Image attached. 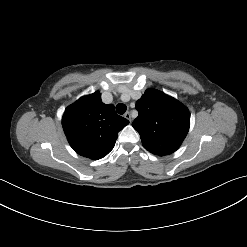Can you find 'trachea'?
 <instances>
[{
  "mask_svg": "<svg viewBox=\"0 0 247 247\" xmlns=\"http://www.w3.org/2000/svg\"><path fill=\"white\" fill-rule=\"evenodd\" d=\"M127 110V107L125 104L123 103H119L116 105V111L118 112V114L123 115Z\"/></svg>",
  "mask_w": 247,
  "mask_h": 247,
  "instance_id": "1",
  "label": "trachea"
}]
</instances>
